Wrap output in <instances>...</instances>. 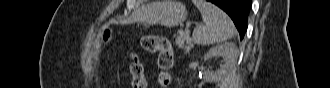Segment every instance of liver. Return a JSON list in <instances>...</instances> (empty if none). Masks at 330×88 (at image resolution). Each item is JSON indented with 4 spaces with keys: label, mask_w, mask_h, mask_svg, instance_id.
I'll return each mask as SVG.
<instances>
[{
    "label": "liver",
    "mask_w": 330,
    "mask_h": 88,
    "mask_svg": "<svg viewBox=\"0 0 330 88\" xmlns=\"http://www.w3.org/2000/svg\"><path fill=\"white\" fill-rule=\"evenodd\" d=\"M153 3L142 5L137 10H135L132 15L129 17L130 22L143 21L145 20L151 12V7Z\"/></svg>",
    "instance_id": "liver-1"
}]
</instances>
